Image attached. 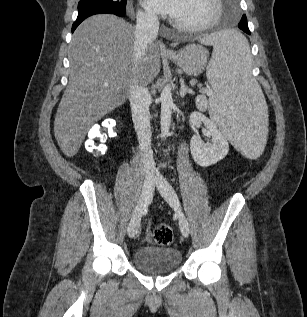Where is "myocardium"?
<instances>
[{
    "instance_id": "f54148a6",
    "label": "myocardium",
    "mask_w": 307,
    "mask_h": 317,
    "mask_svg": "<svg viewBox=\"0 0 307 317\" xmlns=\"http://www.w3.org/2000/svg\"><path fill=\"white\" fill-rule=\"evenodd\" d=\"M212 2L214 3L215 10L212 17L207 22L198 25H185L174 20L173 25L178 30L190 34L201 33L209 30L218 22L223 10L222 0H213Z\"/></svg>"
}]
</instances>
